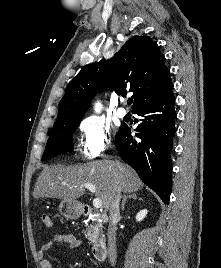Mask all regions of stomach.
<instances>
[{"mask_svg": "<svg viewBox=\"0 0 221 268\" xmlns=\"http://www.w3.org/2000/svg\"><path fill=\"white\" fill-rule=\"evenodd\" d=\"M59 211L66 219H78L82 214V205L78 201L62 200L59 205Z\"/></svg>", "mask_w": 221, "mask_h": 268, "instance_id": "obj_1", "label": "stomach"}]
</instances>
